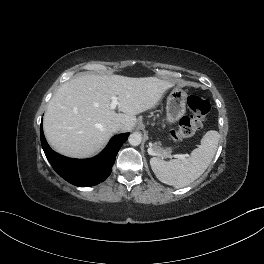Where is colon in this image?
Wrapping results in <instances>:
<instances>
[{
    "instance_id": "5ec220e1",
    "label": "colon",
    "mask_w": 264,
    "mask_h": 264,
    "mask_svg": "<svg viewBox=\"0 0 264 264\" xmlns=\"http://www.w3.org/2000/svg\"><path fill=\"white\" fill-rule=\"evenodd\" d=\"M187 104L190 114L183 116L179 120L178 128L171 131L170 137L173 142L193 136L202 126L203 120L210 110V103L196 95L189 96Z\"/></svg>"
}]
</instances>
